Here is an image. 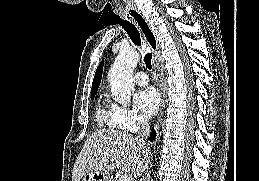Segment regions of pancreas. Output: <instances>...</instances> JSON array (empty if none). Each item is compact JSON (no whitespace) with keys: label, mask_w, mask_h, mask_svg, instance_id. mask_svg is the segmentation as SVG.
Listing matches in <instances>:
<instances>
[{"label":"pancreas","mask_w":259,"mask_h":181,"mask_svg":"<svg viewBox=\"0 0 259 181\" xmlns=\"http://www.w3.org/2000/svg\"><path fill=\"white\" fill-rule=\"evenodd\" d=\"M113 181H119V180L115 178V180H113Z\"/></svg>","instance_id":"obj_1"}]
</instances>
